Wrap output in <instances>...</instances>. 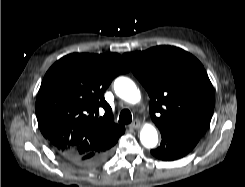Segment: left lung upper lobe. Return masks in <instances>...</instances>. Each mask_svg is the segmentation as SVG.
<instances>
[{"label": "left lung upper lobe", "mask_w": 245, "mask_h": 187, "mask_svg": "<svg viewBox=\"0 0 245 187\" xmlns=\"http://www.w3.org/2000/svg\"><path fill=\"white\" fill-rule=\"evenodd\" d=\"M123 57L150 96V114L160 132H206L214 92L203 65L193 55L174 46H157Z\"/></svg>", "instance_id": "left-lung-upper-lobe-1"}]
</instances>
